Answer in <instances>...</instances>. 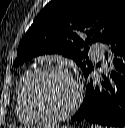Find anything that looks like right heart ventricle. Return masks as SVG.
Segmentation results:
<instances>
[{"label": "right heart ventricle", "instance_id": "right-heart-ventricle-1", "mask_svg": "<svg viewBox=\"0 0 125 128\" xmlns=\"http://www.w3.org/2000/svg\"><path fill=\"white\" fill-rule=\"evenodd\" d=\"M29 71L25 72L18 82L16 88V114L20 121L28 125L40 124L42 121L36 119L28 110L24 99V83Z\"/></svg>", "mask_w": 125, "mask_h": 128}]
</instances>
